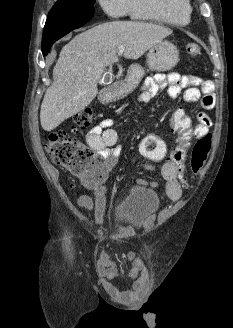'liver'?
<instances>
[{
    "label": "liver",
    "instance_id": "1",
    "mask_svg": "<svg viewBox=\"0 0 233 328\" xmlns=\"http://www.w3.org/2000/svg\"><path fill=\"white\" fill-rule=\"evenodd\" d=\"M171 34L172 30L162 25L112 21L75 36L62 48L53 69V84L46 90L40 110L42 128L52 131L92 102L106 67L119 61V46L125 47V58L138 59Z\"/></svg>",
    "mask_w": 233,
    "mask_h": 328
}]
</instances>
